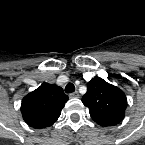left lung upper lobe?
<instances>
[{"label":"left lung upper lobe","mask_w":145,"mask_h":145,"mask_svg":"<svg viewBox=\"0 0 145 145\" xmlns=\"http://www.w3.org/2000/svg\"><path fill=\"white\" fill-rule=\"evenodd\" d=\"M87 88L82 102L98 125L114 126L123 120L127 99L121 89L97 76L88 82Z\"/></svg>","instance_id":"left-lung-upper-lobe-1"}]
</instances>
